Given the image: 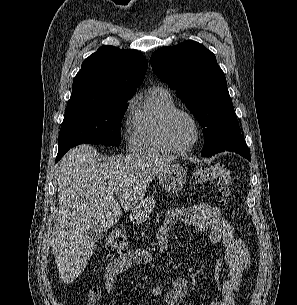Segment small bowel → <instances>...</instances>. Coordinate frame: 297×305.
<instances>
[{
	"label": "small bowel",
	"instance_id": "small-bowel-1",
	"mask_svg": "<svg viewBox=\"0 0 297 305\" xmlns=\"http://www.w3.org/2000/svg\"><path fill=\"white\" fill-rule=\"evenodd\" d=\"M180 223L201 232L209 230L210 242L221 243L224 256L215 263L218 298L209 305H234L236 293L250 267V255L246 245L235 236L233 226L222 216L218 208L208 203H199L192 207L172 208L165 214L157 235L161 252L169 251L168 231ZM151 261L150 252L143 249L131 250L112 261L104 274V286H94L91 289L88 305H96L104 293H111L114 281L119 274ZM188 290L187 281L177 278L173 282L172 290L166 295L165 305H180ZM151 295L159 298L164 295V290L162 287L155 286L151 289Z\"/></svg>",
	"mask_w": 297,
	"mask_h": 305
}]
</instances>
